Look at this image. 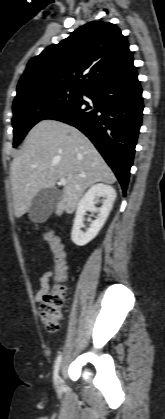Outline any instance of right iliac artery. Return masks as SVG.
<instances>
[{"instance_id":"1","label":"right iliac artery","mask_w":165,"mask_h":419,"mask_svg":"<svg viewBox=\"0 0 165 419\" xmlns=\"http://www.w3.org/2000/svg\"><path fill=\"white\" fill-rule=\"evenodd\" d=\"M61 360H62V354H60V355L57 357L56 361H55V365H54V375H53V377H54V382H56V380H57V378H58V371H59V368H60V363H61Z\"/></svg>"}]
</instances>
